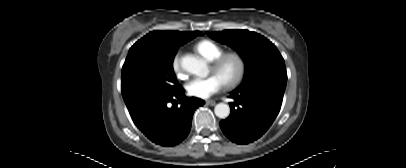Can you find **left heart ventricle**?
I'll return each instance as SVG.
<instances>
[{
  "instance_id": "left-heart-ventricle-1",
  "label": "left heart ventricle",
  "mask_w": 406,
  "mask_h": 168,
  "mask_svg": "<svg viewBox=\"0 0 406 168\" xmlns=\"http://www.w3.org/2000/svg\"><path fill=\"white\" fill-rule=\"evenodd\" d=\"M236 70H237L236 62L234 60H228L219 71L213 72L211 70V72L220 77V79L223 82H226L231 80L235 76Z\"/></svg>"
}]
</instances>
